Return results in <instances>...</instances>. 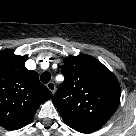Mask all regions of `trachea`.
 <instances>
[{
	"mask_svg": "<svg viewBox=\"0 0 136 136\" xmlns=\"http://www.w3.org/2000/svg\"><path fill=\"white\" fill-rule=\"evenodd\" d=\"M50 79H51V74L49 72H44L40 76V80L44 84L48 83Z\"/></svg>",
	"mask_w": 136,
	"mask_h": 136,
	"instance_id": "3493384b",
	"label": "trachea"
}]
</instances>
